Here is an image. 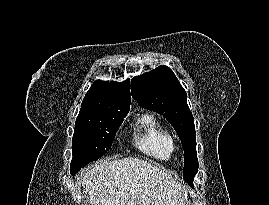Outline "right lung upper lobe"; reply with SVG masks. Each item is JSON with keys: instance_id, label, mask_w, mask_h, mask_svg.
Returning a JSON list of instances; mask_svg holds the SVG:
<instances>
[{"instance_id": "cb5924a9", "label": "right lung upper lobe", "mask_w": 269, "mask_h": 205, "mask_svg": "<svg viewBox=\"0 0 269 205\" xmlns=\"http://www.w3.org/2000/svg\"><path fill=\"white\" fill-rule=\"evenodd\" d=\"M130 81H95L86 93L80 116H126L130 109Z\"/></svg>"}]
</instances>
